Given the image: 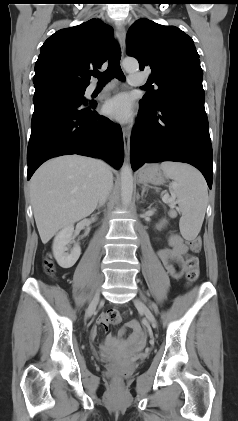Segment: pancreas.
<instances>
[{
	"instance_id": "obj_1",
	"label": "pancreas",
	"mask_w": 238,
	"mask_h": 421,
	"mask_svg": "<svg viewBox=\"0 0 238 421\" xmlns=\"http://www.w3.org/2000/svg\"><path fill=\"white\" fill-rule=\"evenodd\" d=\"M162 200H163L164 203L168 204L169 206H173L174 205V201L172 199H170V198L163 197Z\"/></svg>"
}]
</instances>
